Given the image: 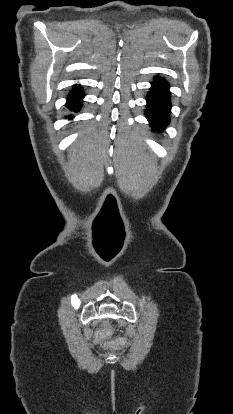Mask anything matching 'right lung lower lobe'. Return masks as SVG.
I'll return each mask as SVG.
<instances>
[{
    "mask_svg": "<svg viewBox=\"0 0 233 414\" xmlns=\"http://www.w3.org/2000/svg\"><path fill=\"white\" fill-rule=\"evenodd\" d=\"M84 93L80 87H75L67 96L66 107L73 112H78L81 108L82 98ZM69 119L72 118L71 115L68 116Z\"/></svg>",
    "mask_w": 233,
    "mask_h": 414,
    "instance_id": "98d812e1",
    "label": "right lung lower lobe"
}]
</instances>
